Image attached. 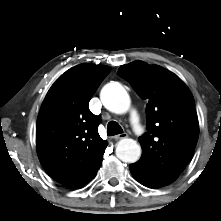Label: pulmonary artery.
Here are the masks:
<instances>
[{
	"label": "pulmonary artery",
	"mask_w": 221,
	"mask_h": 221,
	"mask_svg": "<svg viewBox=\"0 0 221 221\" xmlns=\"http://www.w3.org/2000/svg\"><path fill=\"white\" fill-rule=\"evenodd\" d=\"M137 115L135 113L132 114V122L135 123L137 122Z\"/></svg>",
	"instance_id": "pulmonary-artery-1"
}]
</instances>
